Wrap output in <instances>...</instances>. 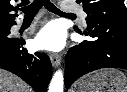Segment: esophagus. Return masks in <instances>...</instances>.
<instances>
[{
	"label": "esophagus",
	"instance_id": "34e87169",
	"mask_svg": "<svg viewBox=\"0 0 127 92\" xmlns=\"http://www.w3.org/2000/svg\"><path fill=\"white\" fill-rule=\"evenodd\" d=\"M50 61L54 67L61 65L62 58L58 54H50Z\"/></svg>",
	"mask_w": 127,
	"mask_h": 92
}]
</instances>
